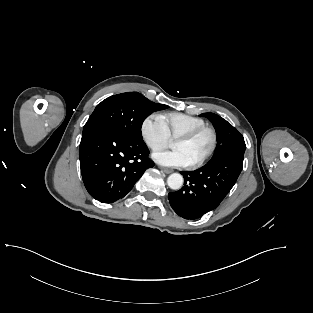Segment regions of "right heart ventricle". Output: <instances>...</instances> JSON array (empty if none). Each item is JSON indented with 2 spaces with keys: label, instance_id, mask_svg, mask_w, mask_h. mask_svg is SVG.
Instances as JSON below:
<instances>
[{
  "label": "right heart ventricle",
  "instance_id": "obj_1",
  "mask_svg": "<svg viewBox=\"0 0 313 313\" xmlns=\"http://www.w3.org/2000/svg\"><path fill=\"white\" fill-rule=\"evenodd\" d=\"M170 138L192 131L206 125L204 119L183 113H165L160 115Z\"/></svg>",
  "mask_w": 313,
  "mask_h": 313
}]
</instances>
